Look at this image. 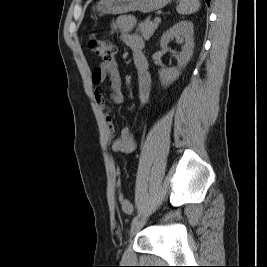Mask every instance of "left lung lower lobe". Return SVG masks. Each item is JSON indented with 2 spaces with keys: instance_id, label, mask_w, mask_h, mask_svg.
<instances>
[{
  "instance_id": "left-lung-lower-lobe-1",
  "label": "left lung lower lobe",
  "mask_w": 267,
  "mask_h": 267,
  "mask_svg": "<svg viewBox=\"0 0 267 267\" xmlns=\"http://www.w3.org/2000/svg\"><path fill=\"white\" fill-rule=\"evenodd\" d=\"M205 1H206V3L209 5L211 0H205Z\"/></svg>"
}]
</instances>
